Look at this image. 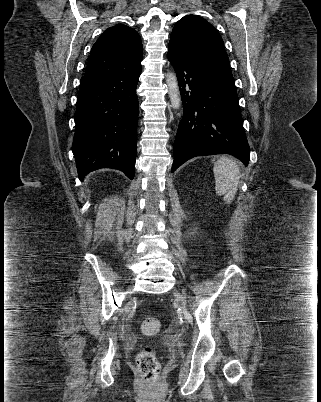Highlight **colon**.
I'll use <instances>...</instances> for the list:
<instances>
[{
	"label": "colon",
	"mask_w": 321,
	"mask_h": 402,
	"mask_svg": "<svg viewBox=\"0 0 321 402\" xmlns=\"http://www.w3.org/2000/svg\"><path fill=\"white\" fill-rule=\"evenodd\" d=\"M160 324L155 317H146L141 324L142 331L153 335L159 330ZM137 368L149 385H155L160 375V362L151 347H144L137 355Z\"/></svg>",
	"instance_id": "5ec220e1"
}]
</instances>
